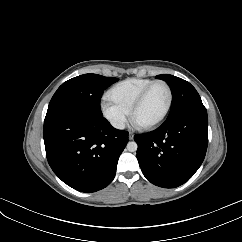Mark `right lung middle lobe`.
<instances>
[{
	"label": "right lung middle lobe",
	"mask_w": 242,
	"mask_h": 242,
	"mask_svg": "<svg viewBox=\"0 0 242 242\" xmlns=\"http://www.w3.org/2000/svg\"><path fill=\"white\" fill-rule=\"evenodd\" d=\"M118 80L114 77L84 74L66 81L53 95L45 118L64 112L102 117L100 99L103 91Z\"/></svg>",
	"instance_id": "dd1d6c3e"
}]
</instances>
